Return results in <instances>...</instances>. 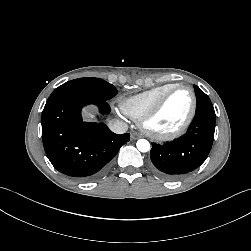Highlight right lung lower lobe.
<instances>
[{"label": "right lung lower lobe", "instance_id": "1", "mask_svg": "<svg viewBox=\"0 0 251 251\" xmlns=\"http://www.w3.org/2000/svg\"><path fill=\"white\" fill-rule=\"evenodd\" d=\"M95 104L108 114L105 100L82 96L61 95L48 99L42 112V139L47 157L61 173L82 181L103 175L109 162L130 134H115L104 124L85 122L81 110Z\"/></svg>", "mask_w": 251, "mask_h": 251}]
</instances>
